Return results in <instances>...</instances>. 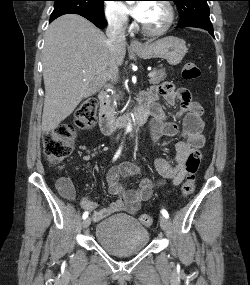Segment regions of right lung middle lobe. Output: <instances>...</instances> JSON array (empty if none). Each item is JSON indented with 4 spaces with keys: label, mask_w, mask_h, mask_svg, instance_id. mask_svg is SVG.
I'll use <instances>...</instances> for the list:
<instances>
[{
    "label": "right lung middle lobe",
    "mask_w": 250,
    "mask_h": 285,
    "mask_svg": "<svg viewBox=\"0 0 250 285\" xmlns=\"http://www.w3.org/2000/svg\"><path fill=\"white\" fill-rule=\"evenodd\" d=\"M54 10L50 19L74 13L104 18L103 3L105 0H54Z\"/></svg>",
    "instance_id": "1"
}]
</instances>
